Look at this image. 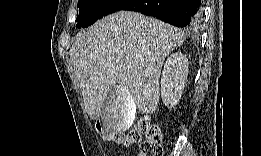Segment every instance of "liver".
I'll list each match as a JSON object with an SVG mask.
<instances>
[{"label": "liver", "instance_id": "6515ba94", "mask_svg": "<svg viewBox=\"0 0 261 156\" xmlns=\"http://www.w3.org/2000/svg\"><path fill=\"white\" fill-rule=\"evenodd\" d=\"M185 39L182 30L131 11L113 13L79 32L70 49V62L90 118L101 116L111 93L118 101L125 93L126 104L133 107L130 118L126 115L113 131L129 129L136 107L155 113L164 60Z\"/></svg>", "mask_w": 261, "mask_h": 156}]
</instances>
